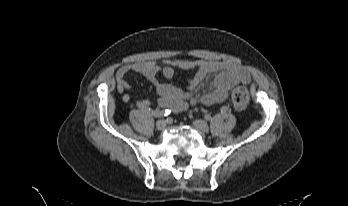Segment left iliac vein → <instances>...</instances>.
Here are the masks:
<instances>
[{"label": "left iliac vein", "mask_w": 348, "mask_h": 206, "mask_svg": "<svg viewBox=\"0 0 348 206\" xmlns=\"http://www.w3.org/2000/svg\"><path fill=\"white\" fill-rule=\"evenodd\" d=\"M193 126L203 133L209 132V126L204 120H194Z\"/></svg>", "instance_id": "1"}]
</instances>
